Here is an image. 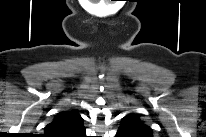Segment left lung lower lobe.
<instances>
[{
	"label": "left lung lower lobe",
	"instance_id": "left-lung-lower-lobe-1",
	"mask_svg": "<svg viewBox=\"0 0 206 137\" xmlns=\"http://www.w3.org/2000/svg\"><path fill=\"white\" fill-rule=\"evenodd\" d=\"M117 136L118 137H136L133 133L124 131V130H118Z\"/></svg>",
	"mask_w": 206,
	"mask_h": 137
}]
</instances>
